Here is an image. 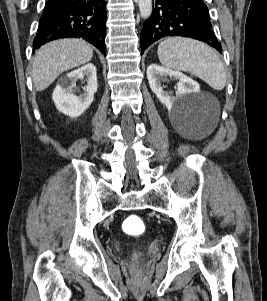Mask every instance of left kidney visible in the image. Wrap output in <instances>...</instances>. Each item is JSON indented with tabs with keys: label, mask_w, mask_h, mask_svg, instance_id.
Listing matches in <instances>:
<instances>
[{
	"label": "left kidney",
	"mask_w": 267,
	"mask_h": 301,
	"mask_svg": "<svg viewBox=\"0 0 267 301\" xmlns=\"http://www.w3.org/2000/svg\"><path fill=\"white\" fill-rule=\"evenodd\" d=\"M167 76L178 80L175 96H172L170 92L164 91V88L161 86V80ZM147 79L152 92L168 109H172L180 97L199 90V84L193 79L179 71H173L157 64H151L147 67Z\"/></svg>",
	"instance_id": "obj_1"
}]
</instances>
